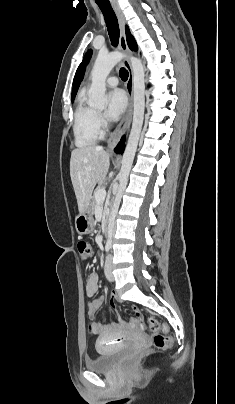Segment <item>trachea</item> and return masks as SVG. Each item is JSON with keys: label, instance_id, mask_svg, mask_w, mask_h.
I'll return each instance as SVG.
<instances>
[{"label": "trachea", "instance_id": "3493384b", "mask_svg": "<svg viewBox=\"0 0 235 404\" xmlns=\"http://www.w3.org/2000/svg\"><path fill=\"white\" fill-rule=\"evenodd\" d=\"M98 6L104 15L111 43L116 47L119 41V25L117 17L110 4H98ZM119 75L123 81L128 79V71L125 68L120 69Z\"/></svg>", "mask_w": 235, "mask_h": 404}]
</instances>
